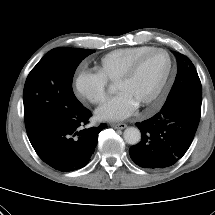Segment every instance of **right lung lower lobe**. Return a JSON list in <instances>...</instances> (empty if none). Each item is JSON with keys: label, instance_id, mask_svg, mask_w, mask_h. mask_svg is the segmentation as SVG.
<instances>
[{"label": "right lung lower lobe", "instance_id": "98d812e1", "mask_svg": "<svg viewBox=\"0 0 215 215\" xmlns=\"http://www.w3.org/2000/svg\"><path fill=\"white\" fill-rule=\"evenodd\" d=\"M91 112L84 106L53 121L28 136L38 156L62 172L81 169L88 164L98 142V134L107 125L82 129Z\"/></svg>", "mask_w": 215, "mask_h": 215}]
</instances>
